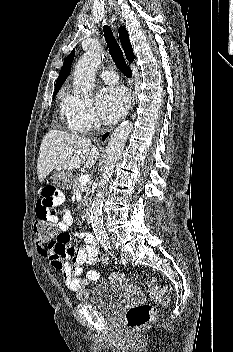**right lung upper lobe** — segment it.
I'll return each instance as SVG.
<instances>
[{
    "label": "right lung upper lobe",
    "mask_w": 233,
    "mask_h": 352,
    "mask_svg": "<svg viewBox=\"0 0 233 352\" xmlns=\"http://www.w3.org/2000/svg\"><path fill=\"white\" fill-rule=\"evenodd\" d=\"M119 38H120L122 47H123V49L125 51L126 58L130 62H132L133 59H134L132 45L130 44V41H129L128 32L126 31V29L123 26H121L119 28ZM74 55H75V49L65 59V61L63 63V66H62V68L60 70L59 76L57 78V81H56L55 91H59V89L61 88L62 84L67 79L68 75L70 74L71 64H72Z\"/></svg>",
    "instance_id": "cb5924a9"
}]
</instances>
